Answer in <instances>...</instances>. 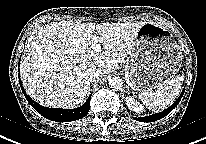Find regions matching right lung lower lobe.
<instances>
[{
	"instance_id": "98d812e1",
	"label": "right lung lower lobe",
	"mask_w": 206,
	"mask_h": 144,
	"mask_svg": "<svg viewBox=\"0 0 206 144\" xmlns=\"http://www.w3.org/2000/svg\"><path fill=\"white\" fill-rule=\"evenodd\" d=\"M19 82H20L22 92L24 93V96L27 99V101L33 106V108L38 113H40L43 117L49 120L57 121V122H69V121L81 119L85 117L89 112L91 95L88 97L87 101L82 106L76 109L48 108V107L41 106L37 102L32 100L23 89L21 80Z\"/></svg>"
}]
</instances>
